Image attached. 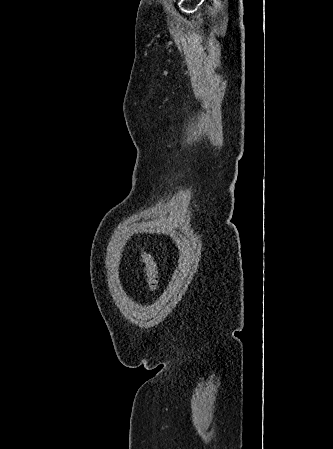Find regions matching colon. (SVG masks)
Wrapping results in <instances>:
<instances>
[{
    "label": "colon",
    "mask_w": 333,
    "mask_h": 449,
    "mask_svg": "<svg viewBox=\"0 0 333 449\" xmlns=\"http://www.w3.org/2000/svg\"><path fill=\"white\" fill-rule=\"evenodd\" d=\"M138 254L140 261L144 266L148 288L151 292H154L158 283V264L153 255L147 253L143 249H138Z\"/></svg>",
    "instance_id": "1"
}]
</instances>
